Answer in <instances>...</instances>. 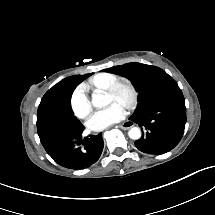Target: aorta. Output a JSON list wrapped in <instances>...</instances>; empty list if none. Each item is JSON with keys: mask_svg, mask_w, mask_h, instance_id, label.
I'll use <instances>...</instances> for the list:
<instances>
[{"mask_svg": "<svg viewBox=\"0 0 215 215\" xmlns=\"http://www.w3.org/2000/svg\"><path fill=\"white\" fill-rule=\"evenodd\" d=\"M110 102L111 97L108 94L103 93L102 91H100L99 95L93 96L92 98V104L96 108H102L103 106L108 105ZM128 135L131 139L137 140L141 137V130L138 127H132L128 131Z\"/></svg>", "mask_w": 215, "mask_h": 215, "instance_id": "aorta-1", "label": "aorta"}]
</instances>
